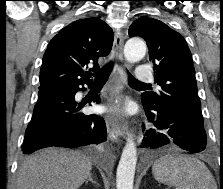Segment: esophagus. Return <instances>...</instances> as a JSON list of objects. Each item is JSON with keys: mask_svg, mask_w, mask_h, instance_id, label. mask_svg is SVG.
I'll return each mask as SVG.
<instances>
[{"mask_svg": "<svg viewBox=\"0 0 223 189\" xmlns=\"http://www.w3.org/2000/svg\"><path fill=\"white\" fill-rule=\"evenodd\" d=\"M123 46H124L123 34L121 31H117L114 36L113 49H112V58L114 59L115 62H119V64H116L113 73V79L115 84H118V80L120 78V75L122 74ZM113 89L114 86L111 87V91L109 93L108 97L109 105H112ZM104 118L110 139L113 141H118L119 138L123 135V132L119 125L118 120L115 117V114L112 112V110H110L105 114Z\"/></svg>", "mask_w": 223, "mask_h": 189, "instance_id": "obj_1", "label": "esophagus"}]
</instances>
